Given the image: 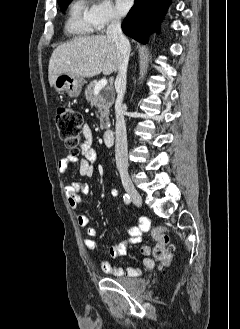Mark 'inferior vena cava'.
Returning <instances> with one entry per match:
<instances>
[{
    "label": "inferior vena cava",
    "mask_w": 240,
    "mask_h": 329,
    "mask_svg": "<svg viewBox=\"0 0 240 329\" xmlns=\"http://www.w3.org/2000/svg\"><path fill=\"white\" fill-rule=\"evenodd\" d=\"M107 37L114 40L118 52V74L115 80L117 98L115 101V158L120 175H128L127 134L123 110V97L126 90V73L130 56V43L121 30V21L118 16H113L107 27Z\"/></svg>",
    "instance_id": "obj_1"
}]
</instances>
